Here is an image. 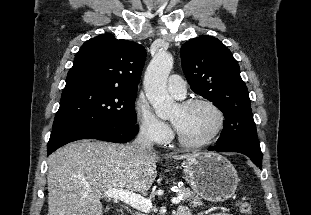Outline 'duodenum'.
<instances>
[{
	"label": "duodenum",
	"instance_id": "410a0bca",
	"mask_svg": "<svg viewBox=\"0 0 311 215\" xmlns=\"http://www.w3.org/2000/svg\"><path fill=\"white\" fill-rule=\"evenodd\" d=\"M120 215H126V214H124V213H121ZM176 215H180V213H178V212H177V214H176Z\"/></svg>",
	"mask_w": 311,
	"mask_h": 215
}]
</instances>
